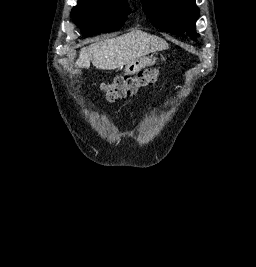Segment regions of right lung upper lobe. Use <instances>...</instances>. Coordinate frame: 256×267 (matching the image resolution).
Listing matches in <instances>:
<instances>
[{
	"label": "right lung upper lobe",
	"mask_w": 256,
	"mask_h": 267,
	"mask_svg": "<svg viewBox=\"0 0 256 267\" xmlns=\"http://www.w3.org/2000/svg\"><path fill=\"white\" fill-rule=\"evenodd\" d=\"M79 1H86V0H79ZM115 1H124V2H126L125 0H115Z\"/></svg>",
	"instance_id": "right-lung-upper-lobe-1"
}]
</instances>
